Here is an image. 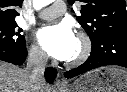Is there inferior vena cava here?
<instances>
[{
    "label": "inferior vena cava",
    "instance_id": "1",
    "mask_svg": "<svg viewBox=\"0 0 127 92\" xmlns=\"http://www.w3.org/2000/svg\"><path fill=\"white\" fill-rule=\"evenodd\" d=\"M47 60L48 57L42 50L32 49L29 51L26 71L30 74L29 78L33 89H35L34 91H38L37 89L40 86L46 85L44 72Z\"/></svg>",
    "mask_w": 127,
    "mask_h": 92
}]
</instances>
